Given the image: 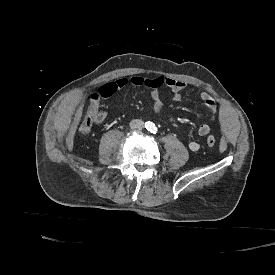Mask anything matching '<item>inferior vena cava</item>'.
Returning a JSON list of instances; mask_svg holds the SVG:
<instances>
[{
	"mask_svg": "<svg viewBox=\"0 0 275 275\" xmlns=\"http://www.w3.org/2000/svg\"><path fill=\"white\" fill-rule=\"evenodd\" d=\"M129 126L131 129H141L144 127V122L141 119H133L130 121Z\"/></svg>",
	"mask_w": 275,
	"mask_h": 275,
	"instance_id": "inferior-vena-cava-1",
	"label": "inferior vena cava"
}]
</instances>
